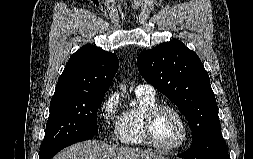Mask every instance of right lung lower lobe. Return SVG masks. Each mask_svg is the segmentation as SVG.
<instances>
[{
    "instance_id": "obj_1",
    "label": "right lung lower lobe",
    "mask_w": 253,
    "mask_h": 159,
    "mask_svg": "<svg viewBox=\"0 0 253 159\" xmlns=\"http://www.w3.org/2000/svg\"><path fill=\"white\" fill-rule=\"evenodd\" d=\"M94 135H88V136H85V137H81V138H78V139H75V140H72V141H69L67 143H65L64 145H61L59 146L57 149H55L52 153H50L48 156L45 157V159H51L56 153H58L60 150H62L63 148L71 145V144H74V143H77V142H81V141H84V140H88V139H91Z\"/></svg>"
}]
</instances>
